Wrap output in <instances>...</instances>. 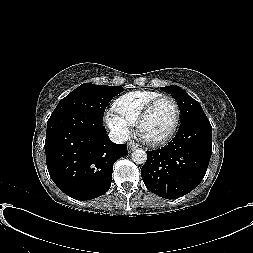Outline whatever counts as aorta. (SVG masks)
Here are the masks:
<instances>
[{
	"instance_id": "1",
	"label": "aorta",
	"mask_w": 253,
	"mask_h": 253,
	"mask_svg": "<svg viewBox=\"0 0 253 253\" xmlns=\"http://www.w3.org/2000/svg\"><path fill=\"white\" fill-rule=\"evenodd\" d=\"M131 159L136 164H144L147 160V154L142 149H137L132 152Z\"/></svg>"
}]
</instances>
